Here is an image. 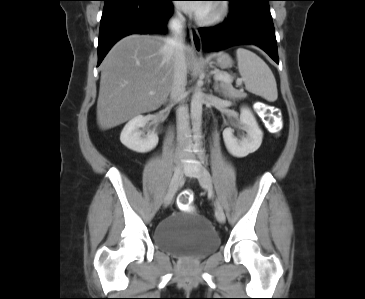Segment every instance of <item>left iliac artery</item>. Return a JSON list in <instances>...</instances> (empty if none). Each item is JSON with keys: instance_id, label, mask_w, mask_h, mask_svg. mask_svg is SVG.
Instances as JSON below:
<instances>
[{"instance_id": "44dca946", "label": "left iliac artery", "mask_w": 365, "mask_h": 299, "mask_svg": "<svg viewBox=\"0 0 365 299\" xmlns=\"http://www.w3.org/2000/svg\"><path fill=\"white\" fill-rule=\"evenodd\" d=\"M200 154H201V159L203 160V162H205L206 160H205L204 150H201Z\"/></svg>"}]
</instances>
